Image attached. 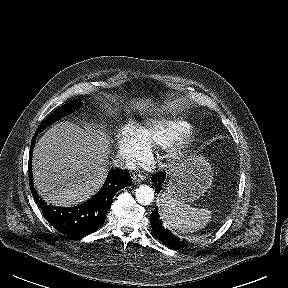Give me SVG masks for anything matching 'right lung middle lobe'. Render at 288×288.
Segmentation results:
<instances>
[{"label": "right lung middle lobe", "instance_id": "obj_1", "mask_svg": "<svg viewBox=\"0 0 288 288\" xmlns=\"http://www.w3.org/2000/svg\"><path fill=\"white\" fill-rule=\"evenodd\" d=\"M81 100L80 99H75L72 101H69L67 103H65L64 105H62L59 109H57L56 111H54L52 114H50L42 123L41 125L38 127V131H42L43 129H45L47 126H49L50 124H52L53 122H55L56 120L62 118L63 116L69 114L70 112L74 111L75 109H77L79 106H81Z\"/></svg>", "mask_w": 288, "mask_h": 288}]
</instances>
